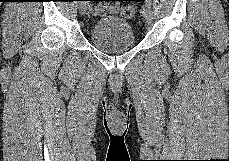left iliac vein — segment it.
I'll list each match as a JSON object with an SVG mask.
<instances>
[{
    "label": "left iliac vein",
    "instance_id": "1",
    "mask_svg": "<svg viewBox=\"0 0 229 161\" xmlns=\"http://www.w3.org/2000/svg\"><path fill=\"white\" fill-rule=\"evenodd\" d=\"M143 20L146 24H150L152 22L153 13L151 9V5L144 4L141 10Z\"/></svg>",
    "mask_w": 229,
    "mask_h": 161
}]
</instances>
